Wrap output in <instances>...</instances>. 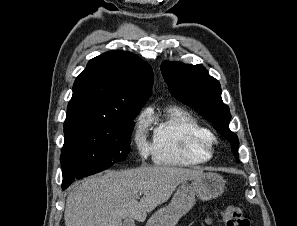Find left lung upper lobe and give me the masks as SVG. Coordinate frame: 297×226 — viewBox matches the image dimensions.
<instances>
[{
	"mask_svg": "<svg viewBox=\"0 0 297 226\" xmlns=\"http://www.w3.org/2000/svg\"><path fill=\"white\" fill-rule=\"evenodd\" d=\"M161 72L171 94L210 121L232 143V152L238 160L239 141L229 129L231 114L221 99L220 83L202 65L163 62Z\"/></svg>",
	"mask_w": 297,
	"mask_h": 226,
	"instance_id": "left-lung-upper-lobe-1",
	"label": "left lung upper lobe"
}]
</instances>
